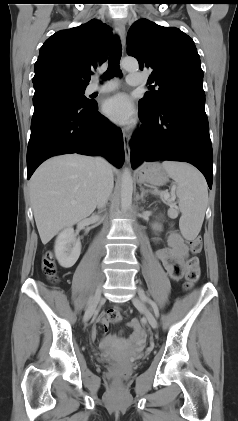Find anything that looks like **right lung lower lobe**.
Wrapping results in <instances>:
<instances>
[{"instance_id": "1", "label": "right lung lower lobe", "mask_w": 238, "mask_h": 421, "mask_svg": "<svg viewBox=\"0 0 238 421\" xmlns=\"http://www.w3.org/2000/svg\"><path fill=\"white\" fill-rule=\"evenodd\" d=\"M27 149V178L46 159L60 154L102 155L120 168L124 163L120 129L75 95L52 87L35 90Z\"/></svg>"}]
</instances>
